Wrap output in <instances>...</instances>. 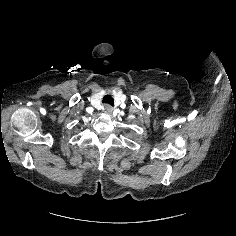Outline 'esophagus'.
<instances>
[{
    "mask_svg": "<svg viewBox=\"0 0 236 236\" xmlns=\"http://www.w3.org/2000/svg\"><path fill=\"white\" fill-rule=\"evenodd\" d=\"M103 111L105 114H111L112 113V107L110 105H105L103 108Z\"/></svg>",
    "mask_w": 236,
    "mask_h": 236,
    "instance_id": "esophagus-1",
    "label": "esophagus"
}]
</instances>
